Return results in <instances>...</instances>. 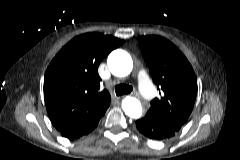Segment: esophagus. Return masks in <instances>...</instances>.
<instances>
[{"mask_svg": "<svg viewBox=\"0 0 240 160\" xmlns=\"http://www.w3.org/2000/svg\"><path fill=\"white\" fill-rule=\"evenodd\" d=\"M131 95L135 96V97H139L140 96L138 92H133Z\"/></svg>", "mask_w": 240, "mask_h": 160, "instance_id": "obj_1", "label": "esophagus"}]
</instances>
